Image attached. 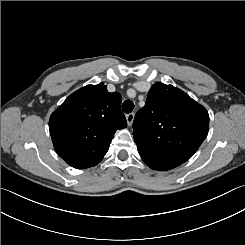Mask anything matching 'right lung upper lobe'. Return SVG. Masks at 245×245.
<instances>
[{
	"mask_svg": "<svg viewBox=\"0 0 245 245\" xmlns=\"http://www.w3.org/2000/svg\"><path fill=\"white\" fill-rule=\"evenodd\" d=\"M121 101V95L109 93L103 83L87 85L71 94L49 120L58 155L77 169L97 165L116 130L127 127Z\"/></svg>",
	"mask_w": 245,
	"mask_h": 245,
	"instance_id": "cb5924a9",
	"label": "right lung upper lobe"
}]
</instances>
